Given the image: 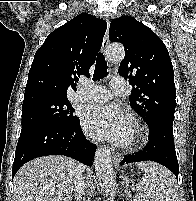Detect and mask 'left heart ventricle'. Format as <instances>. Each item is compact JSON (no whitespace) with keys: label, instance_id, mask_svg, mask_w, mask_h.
Returning <instances> with one entry per match:
<instances>
[{"label":"left heart ventricle","instance_id":"obj_1","mask_svg":"<svg viewBox=\"0 0 196 201\" xmlns=\"http://www.w3.org/2000/svg\"><path fill=\"white\" fill-rule=\"evenodd\" d=\"M133 135H134V130L132 131V134H131L129 141L133 138Z\"/></svg>","mask_w":196,"mask_h":201}]
</instances>
